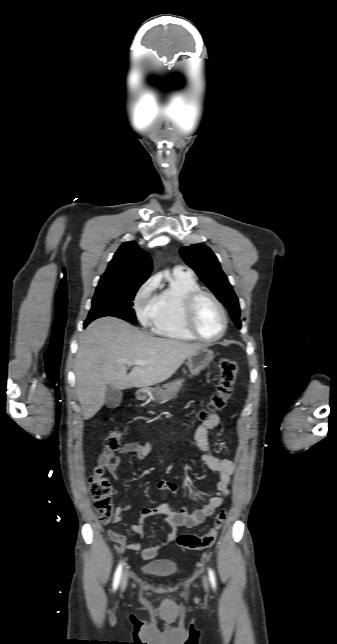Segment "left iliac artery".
Segmentation results:
<instances>
[{"mask_svg": "<svg viewBox=\"0 0 337 644\" xmlns=\"http://www.w3.org/2000/svg\"><path fill=\"white\" fill-rule=\"evenodd\" d=\"M208 572H209V579H210L211 585H212L213 588H215L216 587V580H215L214 573H213L212 569H210V568H209Z\"/></svg>", "mask_w": 337, "mask_h": 644, "instance_id": "obj_1", "label": "left iliac artery"}]
</instances>
